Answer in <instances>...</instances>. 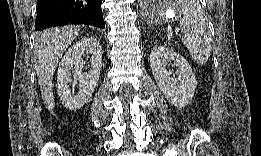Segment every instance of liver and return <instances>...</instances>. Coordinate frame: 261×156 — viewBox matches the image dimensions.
I'll return each mask as SVG.
<instances>
[{
	"mask_svg": "<svg viewBox=\"0 0 261 156\" xmlns=\"http://www.w3.org/2000/svg\"><path fill=\"white\" fill-rule=\"evenodd\" d=\"M79 26H64L45 30L39 35L34 47L35 70L41 95L49 111L54 108L52 80L60 58L78 36Z\"/></svg>",
	"mask_w": 261,
	"mask_h": 156,
	"instance_id": "1",
	"label": "liver"
}]
</instances>
